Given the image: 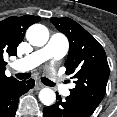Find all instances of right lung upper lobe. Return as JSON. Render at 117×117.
<instances>
[{"label":"right lung upper lobe","instance_id":"cb5924a9","mask_svg":"<svg viewBox=\"0 0 117 117\" xmlns=\"http://www.w3.org/2000/svg\"><path fill=\"white\" fill-rule=\"evenodd\" d=\"M37 16L24 15L21 17L12 16L0 21V92L8 85L17 81L13 77L5 75L6 56L17 55V46L22 42L27 28L39 22Z\"/></svg>","mask_w":117,"mask_h":117}]
</instances>
